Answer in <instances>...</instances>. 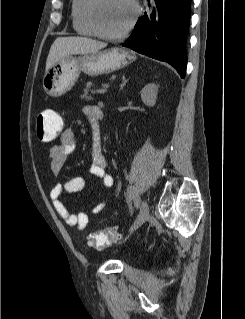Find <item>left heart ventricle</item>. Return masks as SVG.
Segmentation results:
<instances>
[{
    "mask_svg": "<svg viewBox=\"0 0 245 319\" xmlns=\"http://www.w3.org/2000/svg\"><path fill=\"white\" fill-rule=\"evenodd\" d=\"M97 15L104 31L117 33L130 22L133 7L128 0H101Z\"/></svg>",
    "mask_w": 245,
    "mask_h": 319,
    "instance_id": "left-heart-ventricle-1",
    "label": "left heart ventricle"
}]
</instances>
